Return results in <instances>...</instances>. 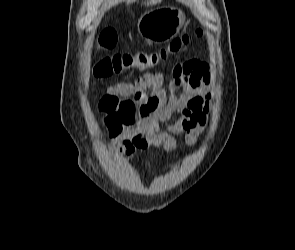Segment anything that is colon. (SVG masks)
Returning <instances> with one entry per match:
<instances>
[{
    "instance_id": "5ec220e1",
    "label": "colon",
    "mask_w": 295,
    "mask_h": 250,
    "mask_svg": "<svg viewBox=\"0 0 295 250\" xmlns=\"http://www.w3.org/2000/svg\"><path fill=\"white\" fill-rule=\"evenodd\" d=\"M202 30L197 29L195 34L200 37ZM117 41V36L112 28L104 29L98 38L99 45L103 48H112ZM190 42L188 34L180 35L168 44L165 49L154 53H118L101 58L93 68V75L97 78H108L115 74L134 68H146L169 55L180 52ZM99 110L104 113V123L110 137L119 136L126 127L137 124L140 109L131 99L121 100L116 96L105 95L99 103Z\"/></svg>"
}]
</instances>
